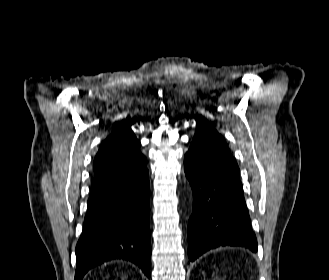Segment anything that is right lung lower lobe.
Here are the masks:
<instances>
[{
    "mask_svg": "<svg viewBox=\"0 0 329 280\" xmlns=\"http://www.w3.org/2000/svg\"><path fill=\"white\" fill-rule=\"evenodd\" d=\"M149 173L146 165L94 176L74 280L112 259L129 260L150 277Z\"/></svg>",
    "mask_w": 329,
    "mask_h": 280,
    "instance_id": "obj_1",
    "label": "right lung lower lobe"
}]
</instances>
